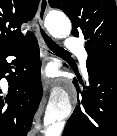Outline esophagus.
<instances>
[{"label": "esophagus", "mask_w": 117, "mask_h": 136, "mask_svg": "<svg viewBox=\"0 0 117 136\" xmlns=\"http://www.w3.org/2000/svg\"><path fill=\"white\" fill-rule=\"evenodd\" d=\"M47 8H48V0H41L39 4V9H38V19L41 25H43L44 23V19L47 13ZM38 41H39L40 47L43 50L46 58H48L50 56L49 49L39 33H38ZM51 84H52V80L46 77L45 75H43L42 85L45 91L49 88Z\"/></svg>", "instance_id": "obj_1"}]
</instances>
